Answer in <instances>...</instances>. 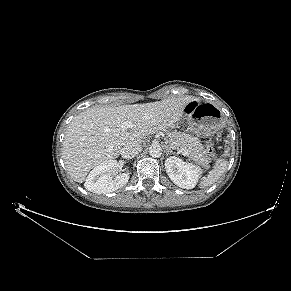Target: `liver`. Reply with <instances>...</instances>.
Wrapping results in <instances>:
<instances>
[{
	"instance_id": "1",
	"label": "liver",
	"mask_w": 291,
	"mask_h": 291,
	"mask_svg": "<svg viewBox=\"0 0 291 291\" xmlns=\"http://www.w3.org/2000/svg\"><path fill=\"white\" fill-rule=\"evenodd\" d=\"M199 99L192 96L161 101L89 108L75 116L65 132L62 157L71 178L85 181L89 171L116 159L126 144L142 143L147 136L173 127L186 105ZM124 121L133 127L122 129Z\"/></svg>"
}]
</instances>
